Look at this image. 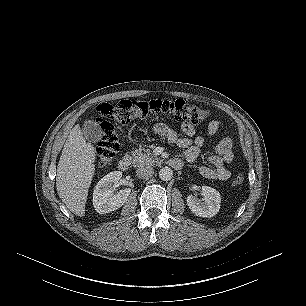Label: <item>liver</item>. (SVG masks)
I'll return each mask as SVG.
<instances>
[{
  "mask_svg": "<svg viewBox=\"0 0 306 306\" xmlns=\"http://www.w3.org/2000/svg\"><path fill=\"white\" fill-rule=\"evenodd\" d=\"M96 152L79 125L71 130L57 166V193L75 215H85L88 190L95 172Z\"/></svg>",
  "mask_w": 306,
  "mask_h": 306,
  "instance_id": "6515ba94",
  "label": "liver"
}]
</instances>
